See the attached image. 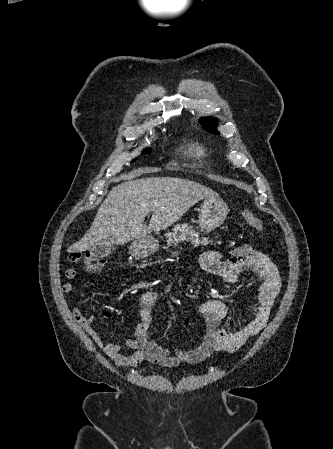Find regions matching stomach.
<instances>
[{
  "instance_id": "obj_1",
  "label": "stomach",
  "mask_w": 333,
  "mask_h": 449,
  "mask_svg": "<svg viewBox=\"0 0 333 449\" xmlns=\"http://www.w3.org/2000/svg\"><path fill=\"white\" fill-rule=\"evenodd\" d=\"M229 210L227 204L220 198H205L199 214V227L201 231L210 232L219 227L227 217ZM159 247L155 238H142L134 241L129 251L136 258H143L154 253Z\"/></svg>"
}]
</instances>
